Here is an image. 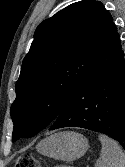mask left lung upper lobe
Listing matches in <instances>:
<instances>
[{"mask_svg":"<svg viewBox=\"0 0 125 167\" xmlns=\"http://www.w3.org/2000/svg\"><path fill=\"white\" fill-rule=\"evenodd\" d=\"M112 20L101 2L82 0L37 27L10 109L13 142L55 121L87 76Z\"/></svg>","mask_w":125,"mask_h":167,"instance_id":"obj_1","label":"left lung upper lobe"}]
</instances>
